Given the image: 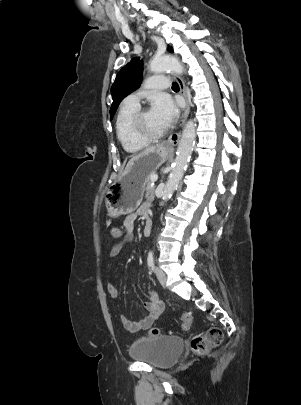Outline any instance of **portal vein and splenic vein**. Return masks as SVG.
Wrapping results in <instances>:
<instances>
[{"instance_id": "18ae733b", "label": "portal vein and splenic vein", "mask_w": 301, "mask_h": 405, "mask_svg": "<svg viewBox=\"0 0 301 405\" xmlns=\"http://www.w3.org/2000/svg\"><path fill=\"white\" fill-rule=\"evenodd\" d=\"M157 179H158V176H157V175H152V176H151V181H152V182L157 181Z\"/></svg>"}]
</instances>
